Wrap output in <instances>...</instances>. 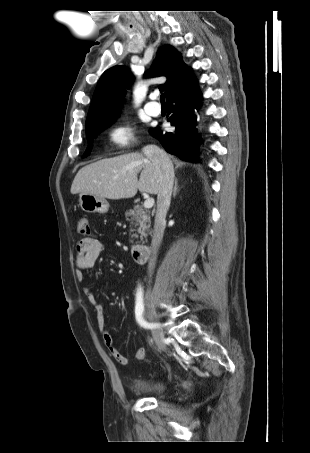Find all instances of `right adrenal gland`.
<instances>
[{
  "mask_svg": "<svg viewBox=\"0 0 310 453\" xmlns=\"http://www.w3.org/2000/svg\"><path fill=\"white\" fill-rule=\"evenodd\" d=\"M177 192H178V180L176 178L175 179V185H174V188H173V197L174 198L176 197Z\"/></svg>",
  "mask_w": 310,
  "mask_h": 453,
  "instance_id": "1",
  "label": "right adrenal gland"
}]
</instances>
